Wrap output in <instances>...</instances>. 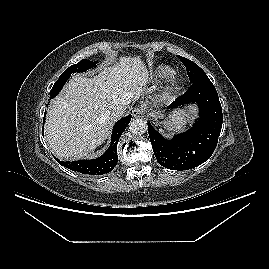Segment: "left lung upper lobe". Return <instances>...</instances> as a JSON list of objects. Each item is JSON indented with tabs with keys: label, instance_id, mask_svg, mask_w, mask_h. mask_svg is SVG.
I'll list each match as a JSON object with an SVG mask.
<instances>
[{
	"label": "left lung upper lobe",
	"instance_id": "obj_1",
	"mask_svg": "<svg viewBox=\"0 0 269 269\" xmlns=\"http://www.w3.org/2000/svg\"><path fill=\"white\" fill-rule=\"evenodd\" d=\"M178 57L180 58L184 66L186 67L191 83L197 82L201 79L208 78L205 72L197 64H195L194 62L184 57H181V56H178Z\"/></svg>",
	"mask_w": 269,
	"mask_h": 269
}]
</instances>
